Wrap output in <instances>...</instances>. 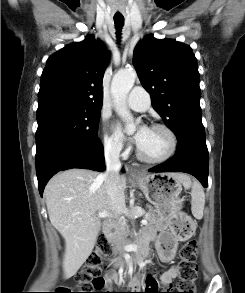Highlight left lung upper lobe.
Returning a JSON list of instances; mask_svg holds the SVG:
<instances>
[{
  "label": "left lung upper lobe",
  "mask_w": 245,
  "mask_h": 293,
  "mask_svg": "<svg viewBox=\"0 0 245 293\" xmlns=\"http://www.w3.org/2000/svg\"><path fill=\"white\" fill-rule=\"evenodd\" d=\"M133 65L153 108L177 138L205 140L198 65L191 47L149 35L135 47Z\"/></svg>",
  "instance_id": "1"
}]
</instances>
